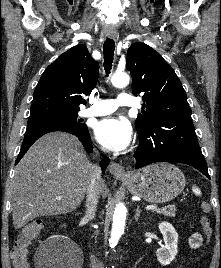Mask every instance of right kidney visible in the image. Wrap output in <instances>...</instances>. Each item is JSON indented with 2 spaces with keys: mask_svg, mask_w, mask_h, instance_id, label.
I'll use <instances>...</instances> for the list:
<instances>
[{
  "mask_svg": "<svg viewBox=\"0 0 221 268\" xmlns=\"http://www.w3.org/2000/svg\"><path fill=\"white\" fill-rule=\"evenodd\" d=\"M55 237H57V236H52L51 238H55Z\"/></svg>",
  "mask_w": 221,
  "mask_h": 268,
  "instance_id": "obj_1",
  "label": "right kidney"
}]
</instances>
